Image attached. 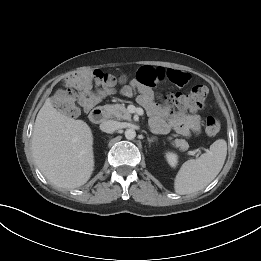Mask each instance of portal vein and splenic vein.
Wrapping results in <instances>:
<instances>
[{"mask_svg": "<svg viewBox=\"0 0 261 261\" xmlns=\"http://www.w3.org/2000/svg\"><path fill=\"white\" fill-rule=\"evenodd\" d=\"M196 152L195 151H190L189 154L190 155H194Z\"/></svg>", "mask_w": 261, "mask_h": 261, "instance_id": "18ae733b", "label": "portal vein and splenic vein"}]
</instances>
